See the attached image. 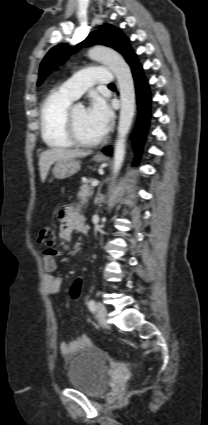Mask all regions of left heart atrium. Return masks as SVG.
<instances>
[{
	"label": "left heart atrium",
	"instance_id": "39dd6f15",
	"mask_svg": "<svg viewBox=\"0 0 208 425\" xmlns=\"http://www.w3.org/2000/svg\"><path fill=\"white\" fill-rule=\"evenodd\" d=\"M87 115L98 134L105 135L112 119V112L106 101L98 96L93 97Z\"/></svg>",
	"mask_w": 208,
	"mask_h": 425
}]
</instances>
